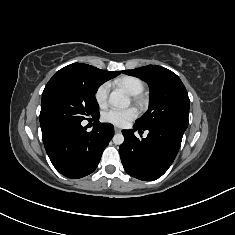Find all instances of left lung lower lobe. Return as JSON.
Wrapping results in <instances>:
<instances>
[{
    "mask_svg": "<svg viewBox=\"0 0 235 235\" xmlns=\"http://www.w3.org/2000/svg\"><path fill=\"white\" fill-rule=\"evenodd\" d=\"M135 130H148L146 138L140 140L134 130H123L124 142L120 146V157L126 172L143 181L161 177L171 166L181 145L184 130L170 126Z\"/></svg>",
    "mask_w": 235,
    "mask_h": 235,
    "instance_id": "1",
    "label": "left lung lower lobe"
}]
</instances>
